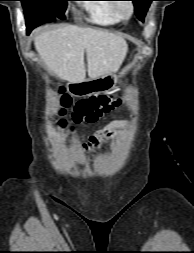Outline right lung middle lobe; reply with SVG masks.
<instances>
[{
	"instance_id": "obj_1",
	"label": "right lung middle lobe",
	"mask_w": 194,
	"mask_h": 253,
	"mask_svg": "<svg viewBox=\"0 0 194 253\" xmlns=\"http://www.w3.org/2000/svg\"><path fill=\"white\" fill-rule=\"evenodd\" d=\"M25 12L26 26L35 28L56 17L64 20L69 0H20Z\"/></svg>"
}]
</instances>
